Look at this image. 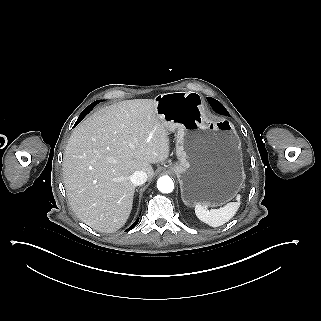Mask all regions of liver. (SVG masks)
I'll list each match as a JSON object with an SVG mask.
<instances>
[{
	"instance_id": "1",
	"label": "liver",
	"mask_w": 321,
	"mask_h": 321,
	"mask_svg": "<svg viewBox=\"0 0 321 321\" xmlns=\"http://www.w3.org/2000/svg\"><path fill=\"white\" fill-rule=\"evenodd\" d=\"M169 137L152 99L103 107L72 132L63 156L67 198L77 217L99 232L113 233L127 221L135 185L130 176L169 156Z\"/></svg>"
}]
</instances>
